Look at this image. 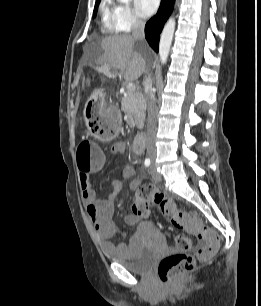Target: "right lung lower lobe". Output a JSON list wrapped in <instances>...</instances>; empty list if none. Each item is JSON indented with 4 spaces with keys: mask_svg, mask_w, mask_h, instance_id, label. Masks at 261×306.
Wrapping results in <instances>:
<instances>
[{
    "mask_svg": "<svg viewBox=\"0 0 261 306\" xmlns=\"http://www.w3.org/2000/svg\"><path fill=\"white\" fill-rule=\"evenodd\" d=\"M174 2L175 0H162L157 14L145 25V37L156 52H158L160 33L173 10Z\"/></svg>",
    "mask_w": 261,
    "mask_h": 306,
    "instance_id": "right-lung-lower-lobe-1",
    "label": "right lung lower lobe"
}]
</instances>
